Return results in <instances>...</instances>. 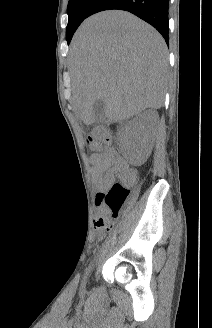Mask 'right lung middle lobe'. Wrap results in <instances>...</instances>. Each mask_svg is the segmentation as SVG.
<instances>
[{
    "label": "right lung middle lobe",
    "instance_id": "1",
    "mask_svg": "<svg viewBox=\"0 0 212 328\" xmlns=\"http://www.w3.org/2000/svg\"><path fill=\"white\" fill-rule=\"evenodd\" d=\"M95 1L96 0H69L67 7L69 20L66 29L68 44L78 26L88 17V12Z\"/></svg>",
    "mask_w": 212,
    "mask_h": 328
}]
</instances>
